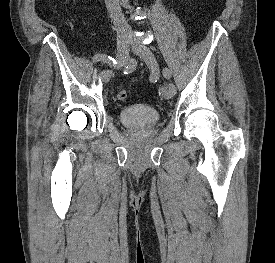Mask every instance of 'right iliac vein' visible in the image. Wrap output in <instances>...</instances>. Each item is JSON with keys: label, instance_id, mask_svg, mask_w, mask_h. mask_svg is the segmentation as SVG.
<instances>
[{"label": "right iliac vein", "instance_id": "obj_1", "mask_svg": "<svg viewBox=\"0 0 275 263\" xmlns=\"http://www.w3.org/2000/svg\"><path fill=\"white\" fill-rule=\"evenodd\" d=\"M129 52V44L124 39H119L117 41V51H116V59L119 64H122L126 61ZM112 75L111 70H105L101 73V78L103 82L108 83Z\"/></svg>", "mask_w": 275, "mask_h": 263}]
</instances>
